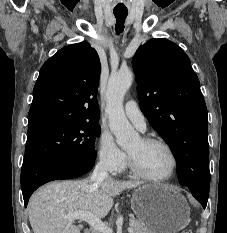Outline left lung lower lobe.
Listing matches in <instances>:
<instances>
[{"label": "left lung lower lobe", "instance_id": "1", "mask_svg": "<svg viewBox=\"0 0 227 233\" xmlns=\"http://www.w3.org/2000/svg\"><path fill=\"white\" fill-rule=\"evenodd\" d=\"M193 196L202 204L203 208L206 207L207 205V200H208V194L200 193L197 191H191Z\"/></svg>", "mask_w": 227, "mask_h": 233}]
</instances>
